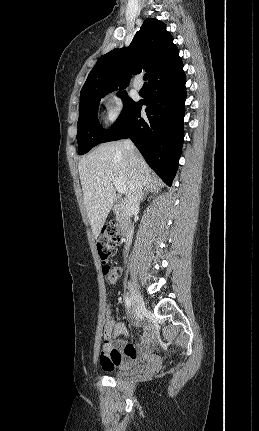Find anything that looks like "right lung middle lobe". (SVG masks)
Wrapping results in <instances>:
<instances>
[{
	"mask_svg": "<svg viewBox=\"0 0 259 431\" xmlns=\"http://www.w3.org/2000/svg\"><path fill=\"white\" fill-rule=\"evenodd\" d=\"M108 92L89 94L80 100L77 141L79 155L87 153L91 148L106 140L111 131L126 117L136 102L127 97L125 91H119L124 107L114 126L110 130L102 128L97 115L100 99Z\"/></svg>",
	"mask_w": 259,
	"mask_h": 431,
	"instance_id": "dd1d6c3e",
	"label": "right lung middle lobe"
}]
</instances>
